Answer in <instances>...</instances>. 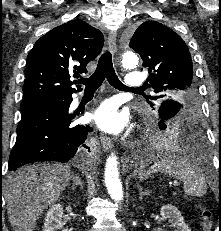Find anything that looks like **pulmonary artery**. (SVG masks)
I'll return each mask as SVG.
<instances>
[{"label": "pulmonary artery", "mask_w": 221, "mask_h": 231, "mask_svg": "<svg viewBox=\"0 0 221 231\" xmlns=\"http://www.w3.org/2000/svg\"><path fill=\"white\" fill-rule=\"evenodd\" d=\"M145 82V77L140 72H130L125 80L124 85L128 88H138Z\"/></svg>", "instance_id": "pulmonary-artery-1"}]
</instances>
